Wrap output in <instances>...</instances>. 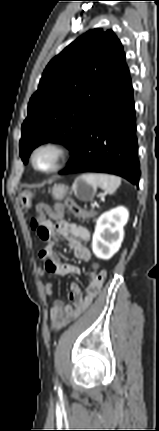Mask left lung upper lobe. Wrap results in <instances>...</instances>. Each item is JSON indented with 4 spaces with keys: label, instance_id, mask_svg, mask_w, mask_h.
<instances>
[{
    "label": "left lung upper lobe",
    "instance_id": "obj_1",
    "mask_svg": "<svg viewBox=\"0 0 159 431\" xmlns=\"http://www.w3.org/2000/svg\"><path fill=\"white\" fill-rule=\"evenodd\" d=\"M128 73L123 47L112 30H90L55 56L42 74L22 124L23 162L48 141L72 151L84 126Z\"/></svg>",
    "mask_w": 159,
    "mask_h": 431
}]
</instances>
